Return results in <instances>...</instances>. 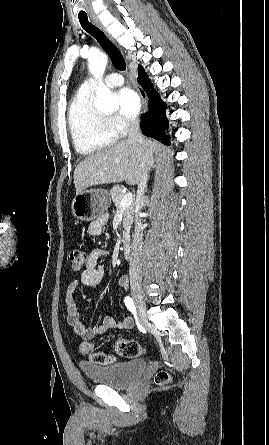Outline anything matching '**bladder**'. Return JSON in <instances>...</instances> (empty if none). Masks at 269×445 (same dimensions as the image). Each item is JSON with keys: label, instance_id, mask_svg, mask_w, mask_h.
I'll use <instances>...</instances> for the list:
<instances>
[{"label": "bladder", "instance_id": "31cf9c89", "mask_svg": "<svg viewBox=\"0 0 269 445\" xmlns=\"http://www.w3.org/2000/svg\"><path fill=\"white\" fill-rule=\"evenodd\" d=\"M80 367L84 376L93 383L113 389H125L141 380L147 370V362L132 359L108 366L83 362Z\"/></svg>", "mask_w": 269, "mask_h": 445}]
</instances>
